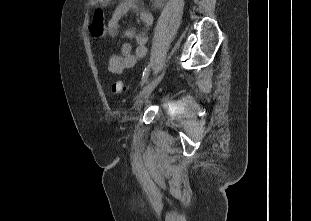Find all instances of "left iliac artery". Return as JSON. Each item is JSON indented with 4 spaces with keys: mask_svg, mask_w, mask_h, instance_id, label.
Instances as JSON below:
<instances>
[{
    "mask_svg": "<svg viewBox=\"0 0 311 221\" xmlns=\"http://www.w3.org/2000/svg\"><path fill=\"white\" fill-rule=\"evenodd\" d=\"M149 72H150V65H148L143 72V76H142V80H141V86H143L144 83L147 81V78L149 76Z\"/></svg>",
    "mask_w": 311,
    "mask_h": 221,
    "instance_id": "1",
    "label": "left iliac artery"
}]
</instances>
